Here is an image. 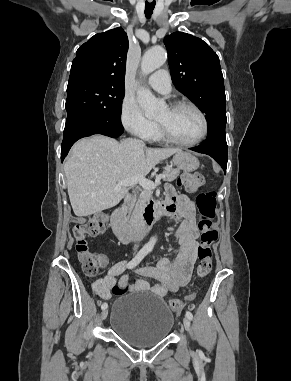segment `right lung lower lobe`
Segmentation results:
<instances>
[{
	"label": "right lung lower lobe",
	"instance_id": "obj_1",
	"mask_svg": "<svg viewBox=\"0 0 291 381\" xmlns=\"http://www.w3.org/2000/svg\"><path fill=\"white\" fill-rule=\"evenodd\" d=\"M124 131L121 121L101 122L90 127H84L78 120L66 122L64 129L63 142L61 145V161L68 154L71 146L80 138L93 134H102L112 138L120 136Z\"/></svg>",
	"mask_w": 291,
	"mask_h": 381
}]
</instances>
